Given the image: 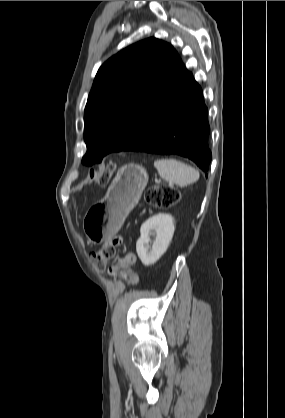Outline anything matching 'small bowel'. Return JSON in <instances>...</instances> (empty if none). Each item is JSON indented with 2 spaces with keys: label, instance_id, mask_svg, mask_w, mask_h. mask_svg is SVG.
<instances>
[{
  "label": "small bowel",
  "instance_id": "small-bowel-1",
  "mask_svg": "<svg viewBox=\"0 0 285 418\" xmlns=\"http://www.w3.org/2000/svg\"><path fill=\"white\" fill-rule=\"evenodd\" d=\"M120 241H121V239L119 237L113 239V243L114 244H119ZM133 256H134V262H135L136 257H135L134 254H133ZM129 260H130L129 256H127V257H125L123 259H120L116 264L112 265L109 268V272L112 275L122 274L126 279H128V281L130 283L135 284L138 281L137 275L134 272H132V271H123V268H124L123 267V264L126 263V266L127 265H130L129 264Z\"/></svg>",
  "mask_w": 285,
  "mask_h": 418
}]
</instances>
